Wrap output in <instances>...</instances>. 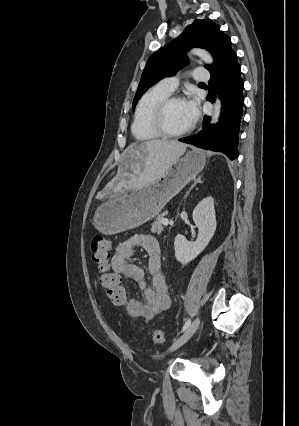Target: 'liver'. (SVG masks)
<instances>
[{"mask_svg": "<svg viewBox=\"0 0 299 426\" xmlns=\"http://www.w3.org/2000/svg\"><path fill=\"white\" fill-rule=\"evenodd\" d=\"M186 147L184 143L166 140L133 143L125 151L117 177L126 175L134 187L145 186L162 177Z\"/></svg>", "mask_w": 299, "mask_h": 426, "instance_id": "1", "label": "liver"}]
</instances>
